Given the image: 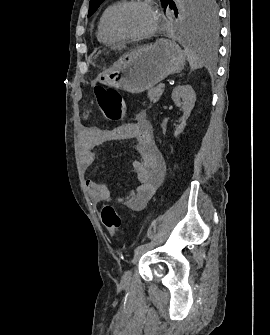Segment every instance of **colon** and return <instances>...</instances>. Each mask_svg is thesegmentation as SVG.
<instances>
[{
	"mask_svg": "<svg viewBox=\"0 0 270 335\" xmlns=\"http://www.w3.org/2000/svg\"><path fill=\"white\" fill-rule=\"evenodd\" d=\"M92 93L97 102L100 113L109 122H117L125 115L127 107L119 93L105 85H96ZM102 221L105 227L112 233L124 232L125 222L113 204H105L102 208Z\"/></svg>",
	"mask_w": 270,
	"mask_h": 335,
	"instance_id": "obj_1",
	"label": "colon"
}]
</instances>
